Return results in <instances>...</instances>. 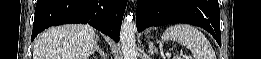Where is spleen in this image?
<instances>
[{
	"label": "spleen",
	"mask_w": 261,
	"mask_h": 59,
	"mask_svg": "<svg viewBox=\"0 0 261 59\" xmlns=\"http://www.w3.org/2000/svg\"><path fill=\"white\" fill-rule=\"evenodd\" d=\"M162 40H172L186 46L195 59H216L208 39L201 31L189 24L170 26L163 33Z\"/></svg>",
	"instance_id": "spleen-1"
}]
</instances>
